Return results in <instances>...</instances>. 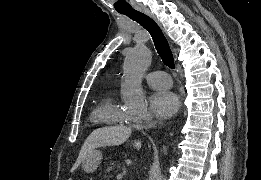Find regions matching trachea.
Instances as JSON below:
<instances>
[{"mask_svg":"<svg viewBox=\"0 0 261 180\" xmlns=\"http://www.w3.org/2000/svg\"><path fill=\"white\" fill-rule=\"evenodd\" d=\"M119 13L126 15L127 17L131 18V20H134L135 22L139 23V25H142V27L148 30L164 65L174 69V57L169 47V43L157 23L154 22L152 18L147 17V15L144 13L138 12L135 9L119 11Z\"/></svg>","mask_w":261,"mask_h":180,"instance_id":"1","label":"trachea"}]
</instances>
